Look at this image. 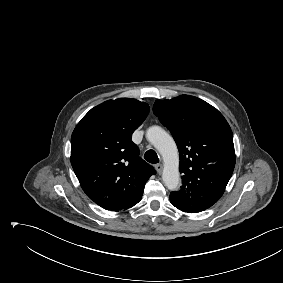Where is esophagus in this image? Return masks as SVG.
Returning a JSON list of instances; mask_svg holds the SVG:
<instances>
[{
	"instance_id": "34e87169",
	"label": "esophagus",
	"mask_w": 283,
	"mask_h": 283,
	"mask_svg": "<svg viewBox=\"0 0 283 283\" xmlns=\"http://www.w3.org/2000/svg\"><path fill=\"white\" fill-rule=\"evenodd\" d=\"M155 169H156V171H157L159 174H161V173H162V170H163L162 164H156V165H155Z\"/></svg>"
}]
</instances>
